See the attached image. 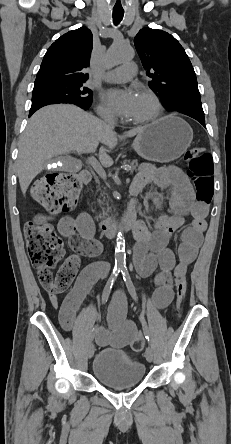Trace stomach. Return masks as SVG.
Wrapping results in <instances>:
<instances>
[{
	"mask_svg": "<svg viewBox=\"0 0 231 444\" xmlns=\"http://www.w3.org/2000/svg\"><path fill=\"white\" fill-rule=\"evenodd\" d=\"M193 131L183 119L168 115L145 126L133 141L142 158L166 163L179 158L190 146Z\"/></svg>",
	"mask_w": 231,
	"mask_h": 444,
	"instance_id": "obj_1",
	"label": "stomach"
}]
</instances>
